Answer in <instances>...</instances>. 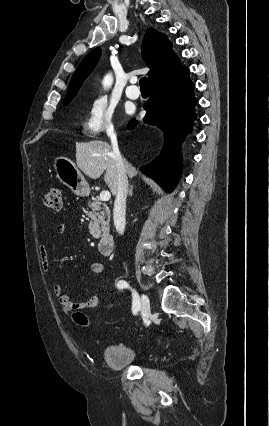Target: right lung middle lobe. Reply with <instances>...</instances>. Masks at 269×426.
<instances>
[{
  "label": "right lung middle lobe",
  "instance_id": "1",
  "mask_svg": "<svg viewBox=\"0 0 269 426\" xmlns=\"http://www.w3.org/2000/svg\"><path fill=\"white\" fill-rule=\"evenodd\" d=\"M73 98H66L64 100V104L67 105Z\"/></svg>",
  "mask_w": 269,
  "mask_h": 426
}]
</instances>
